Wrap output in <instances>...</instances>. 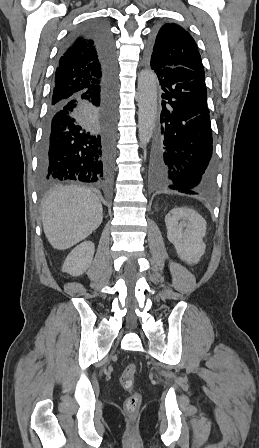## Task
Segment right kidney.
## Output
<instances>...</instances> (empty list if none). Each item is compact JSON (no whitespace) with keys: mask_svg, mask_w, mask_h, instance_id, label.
<instances>
[{"mask_svg":"<svg viewBox=\"0 0 259 448\" xmlns=\"http://www.w3.org/2000/svg\"><path fill=\"white\" fill-rule=\"evenodd\" d=\"M94 244L93 242H82L79 246H76L70 254H68L62 272H67L70 276H81L89 266L94 256Z\"/></svg>","mask_w":259,"mask_h":448,"instance_id":"1","label":"right kidney"}]
</instances>
